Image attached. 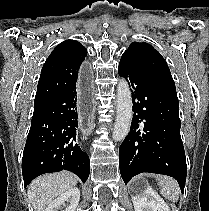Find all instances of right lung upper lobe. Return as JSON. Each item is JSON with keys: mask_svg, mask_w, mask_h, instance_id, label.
<instances>
[{"mask_svg": "<svg viewBox=\"0 0 209 211\" xmlns=\"http://www.w3.org/2000/svg\"><path fill=\"white\" fill-rule=\"evenodd\" d=\"M86 55V48L74 40H65L54 48L41 71L34 110L76 86Z\"/></svg>", "mask_w": 209, "mask_h": 211, "instance_id": "right-lung-upper-lobe-1", "label": "right lung upper lobe"}]
</instances>
